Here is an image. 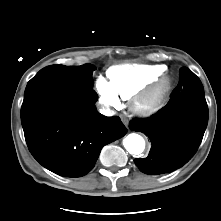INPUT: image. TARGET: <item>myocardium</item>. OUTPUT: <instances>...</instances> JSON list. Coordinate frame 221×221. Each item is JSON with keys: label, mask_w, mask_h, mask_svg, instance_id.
Wrapping results in <instances>:
<instances>
[{"label": "myocardium", "mask_w": 221, "mask_h": 221, "mask_svg": "<svg viewBox=\"0 0 221 221\" xmlns=\"http://www.w3.org/2000/svg\"><path fill=\"white\" fill-rule=\"evenodd\" d=\"M171 89V79L161 76L146 91L133 97L131 109L141 116L155 114L163 105Z\"/></svg>", "instance_id": "1"}]
</instances>
